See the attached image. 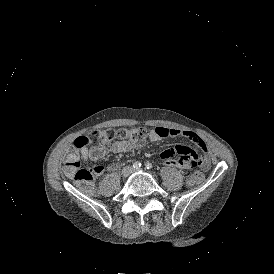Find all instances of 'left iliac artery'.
<instances>
[{
    "label": "left iliac artery",
    "instance_id": "44dca946",
    "mask_svg": "<svg viewBox=\"0 0 274 274\" xmlns=\"http://www.w3.org/2000/svg\"><path fill=\"white\" fill-rule=\"evenodd\" d=\"M145 166H146V168L147 169H152V164L150 163V162H147L146 164H145Z\"/></svg>",
    "mask_w": 274,
    "mask_h": 274
}]
</instances>
